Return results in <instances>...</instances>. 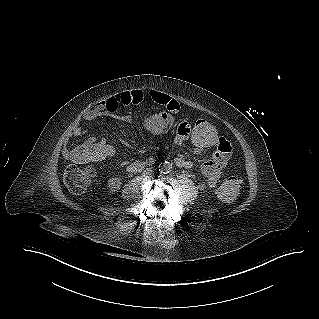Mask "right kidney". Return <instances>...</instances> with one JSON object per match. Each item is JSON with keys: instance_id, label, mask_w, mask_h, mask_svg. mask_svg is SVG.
Wrapping results in <instances>:
<instances>
[{"instance_id": "ca27d5eb", "label": "right kidney", "mask_w": 319, "mask_h": 319, "mask_svg": "<svg viewBox=\"0 0 319 319\" xmlns=\"http://www.w3.org/2000/svg\"><path fill=\"white\" fill-rule=\"evenodd\" d=\"M121 178L113 177L108 180L107 187L109 188L110 192H117L121 188Z\"/></svg>"}]
</instances>
